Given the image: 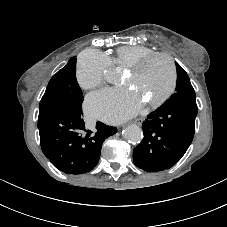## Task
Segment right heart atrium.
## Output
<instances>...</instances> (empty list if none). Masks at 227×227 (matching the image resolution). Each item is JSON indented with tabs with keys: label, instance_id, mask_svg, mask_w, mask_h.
I'll use <instances>...</instances> for the list:
<instances>
[{
	"label": "right heart atrium",
	"instance_id": "obj_1",
	"mask_svg": "<svg viewBox=\"0 0 227 227\" xmlns=\"http://www.w3.org/2000/svg\"><path fill=\"white\" fill-rule=\"evenodd\" d=\"M109 58L100 51L88 49L81 53L77 63L76 77L85 90H93L105 82V74L110 69Z\"/></svg>",
	"mask_w": 227,
	"mask_h": 227
}]
</instances>
